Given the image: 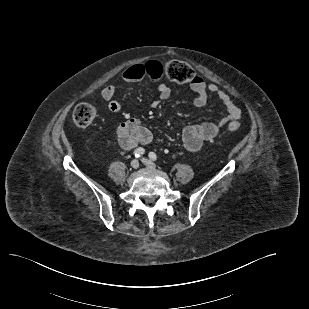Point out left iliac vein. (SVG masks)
<instances>
[{"label": "left iliac vein", "instance_id": "left-iliac-vein-1", "mask_svg": "<svg viewBox=\"0 0 309 309\" xmlns=\"http://www.w3.org/2000/svg\"><path fill=\"white\" fill-rule=\"evenodd\" d=\"M142 162L144 165H146L149 168H155V164L147 158H142Z\"/></svg>", "mask_w": 309, "mask_h": 309}]
</instances>
